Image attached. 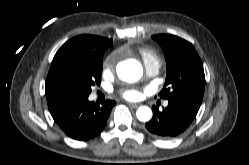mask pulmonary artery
<instances>
[{
	"mask_svg": "<svg viewBox=\"0 0 249 165\" xmlns=\"http://www.w3.org/2000/svg\"><path fill=\"white\" fill-rule=\"evenodd\" d=\"M159 67L156 64L145 65L146 74L149 76H154L158 73ZM167 105V103H165Z\"/></svg>",
	"mask_w": 249,
	"mask_h": 165,
	"instance_id": "pulmonary-artery-1",
	"label": "pulmonary artery"
}]
</instances>
